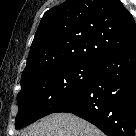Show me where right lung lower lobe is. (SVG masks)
I'll return each instance as SVG.
<instances>
[{
  "mask_svg": "<svg viewBox=\"0 0 136 136\" xmlns=\"http://www.w3.org/2000/svg\"><path fill=\"white\" fill-rule=\"evenodd\" d=\"M59 112L75 114L107 136H135L136 41L102 59L90 84Z\"/></svg>",
  "mask_w": 136,
  "mask_h": 136,
  "instance_id": "obj_1",
  "label": "right lung lower lobe"
}]
</instances>
